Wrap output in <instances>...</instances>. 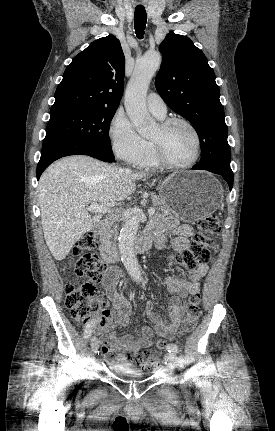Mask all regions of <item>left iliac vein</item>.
Returning a JSON list of instances; mask_svg holds the SVG:
<instances>
[{
	"label": "left iliac vein",
	"instance_id": "left-iliac-vein-1",
	"mask_svg": "<svg viewBox=\"0 0 275 431\" xmlns=\"http://www.w3.org/2000/svg\"><path fill=\"white\" fill-rule=\"evenodd\" d=\"M164 359L170 367H175L177 364V357L175 353H166Z\"/></svg>",
	"mask_w": 275,
	"mask_h": 431
}]
</instances>
